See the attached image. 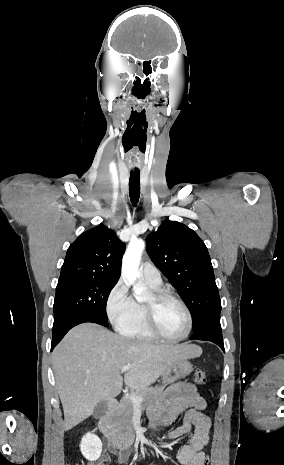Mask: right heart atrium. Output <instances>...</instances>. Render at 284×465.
Segmentation results:
<instances>
[{"label":"right heart atrium","instance_id":"1","mask_svg":"<svg viewBox=\"0 0 284 465\" xmlns=\"http://www.w3.org/2000/svg\"><path fill=\"white\" fill-rule=\"evenodd\" d=\"M135 308L136 302L129 294L125 281L120 279L106 297L105 312L109 321L119 327L132 317Z\"/></svg>","mask_w":284,"mask_h":465}]
</instances>
